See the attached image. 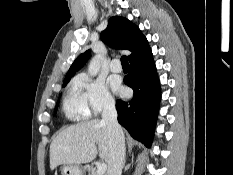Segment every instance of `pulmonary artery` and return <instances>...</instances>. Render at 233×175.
<instances>
[{
    "instance_id": "e3ab8cb5",
    "label": "pulmonary artery",
    "mask_w": 233,
    "mask_h": 175,
    "mask_svg": "<svg viewBox=\"0 0 233 175\" xmlns=\"http://www.w3.org/2000/svg\"><path fill=\"white\" fill-rule=\"evenodd\" d=\"M110 70L114 73H120L122 71V67L118 59L112 60L110 64Z\"/></svg>"
}]
</instances>
